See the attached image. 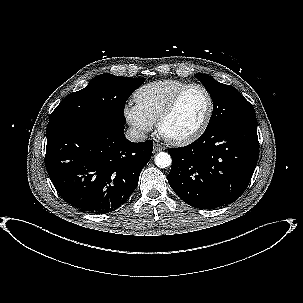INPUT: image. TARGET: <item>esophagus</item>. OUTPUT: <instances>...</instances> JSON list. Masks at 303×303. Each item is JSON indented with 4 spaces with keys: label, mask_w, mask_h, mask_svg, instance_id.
<instances>
[{
    "label": "esophagus",
    "mask_w": 303,
    "mask_h": 303,
    "mask_svg": "<svg viewBox=\"0 0 303 303\" xmlns=\"http://www.w3.org/2000/svg\"><path fill=\"white\" fill-rule=\"evenodd\" d=\"M165 150V147L161 146L160 144L155 143L154 144V152H159Z\"/></svg>",
    "instance_id": "esophagus-1"
}]
</instances>
